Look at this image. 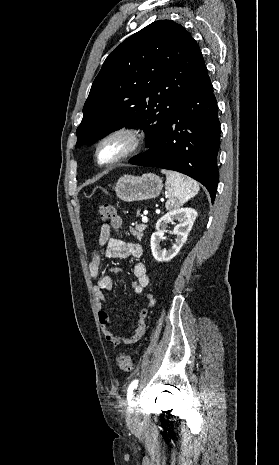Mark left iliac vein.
Instances as JSON below:
<instances>
[{
	"mask_svg": "<svg viewBox=\"0 0 279 465\" xmlns=\"http://www.w3.org/2000/svg\"><path fill=\"white\" fill-rule=\"evenodd\" d=\"M126 419H127L128 424L131 426L136 425L139 421V417L136 411V405H135L134 400L129 403V406L127 408Z\"/></svg>",
	"mask_w": 279,
	"mask_h": 465,
	"instance_id": "left-iliac-vein-1",
	"label": "left iliac vein"
}]
</instances>
